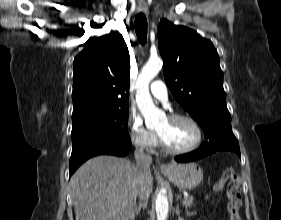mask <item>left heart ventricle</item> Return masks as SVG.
I'll list each match as a JSON object with an SVG mask.
<instances>
[{
	"mask_svg": "<svg viewBox=\"0 0 281 220\" xmlns=\"http://www.w3.org/2000/svg\"><path fill=\"white\" fill-rule=\"evenodd\" d=\"M156 131L174 149L188 148L196 141V131L186 120L170 121L166 118Z\"/></svg>",
	"mask_w": 281,
	"mask_h": 220,
	"instance_id": "b2bd125f",
	"label": "left heart ventricle"
}]
</instances>
